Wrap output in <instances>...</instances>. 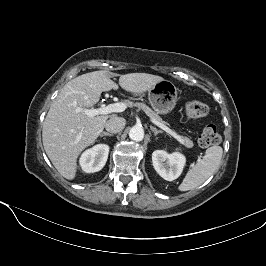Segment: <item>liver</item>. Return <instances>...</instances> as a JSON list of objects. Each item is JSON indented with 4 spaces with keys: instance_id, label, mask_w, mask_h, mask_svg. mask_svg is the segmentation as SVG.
Here are the masks:
<instances>
[{
    "instance_id": "1",
    "label": "liver",
    "mask_w": 266,
    "mask_h": 266,
    "mask_svg": "<svg viewBox=\"0 0 266 266\" xmlns=\"http://www.w3.org/2000/svg\"><path fill=\"white\" fill-rule=\"evenodd\" d=\"M116 75L105 70L80 75L66 83L51 104L43 123V146L54 167L68 180L76 176L78 156L95 142L109 118L88 117L78 109L90 108L102 92L116 90L118 86L111 80ZM162 80L157 75L129 73L120 75L119 85L125 91L140 94Z\"/></svg>"
}]
</instances>
